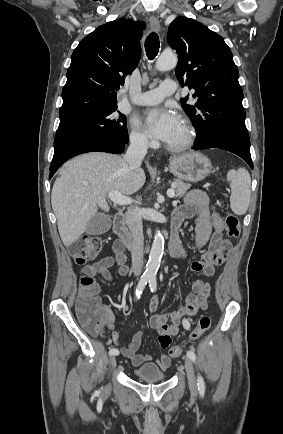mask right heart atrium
Wrapping results in <instances>:
<instances>
[{
  "label": "right heart atrium",
  "mask_w": 283,
  "mask_h": 434,
  "mask_svg": "<svg viewBox=\"0 0 283 434\" xmlns=\"http://www.w3.org/2000/svg\"><path fill=\"white\" fill-rule=\"evenodd\" d=\"M129 138L131 144L137 148H148L152 144L147 135L139 129L136 123H132Z\"/></svg>",
  "instance_id": "1"
}]
</instances>
